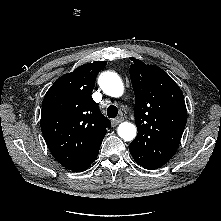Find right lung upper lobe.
<instances>
[{
  "label": "right lung upper lobe",
  "mask_w": 221,
  "mask_h": 221,
  "mask_svg": "<svg viewBox=\"0 0 221 221\" xmlns=\"http://www.w3.org/2000/svg\"><path fill=\"white\" fill-rule=\"evenodd\" d=\"M106 61L84 64L55 81L42 104L41 131L53 157L65 168L83 162L110 127L91 93Z\"/></svg>",
  "instance_id": "cb5924a9"
}]
</instances>
